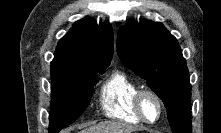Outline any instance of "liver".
<instances>
[{
	"mask_svg": "<svg viewBox=\"0 0 221 133\" xmlns=\"http://www.w3.org/2000/svg\"><path fill=\"white\" fill-rule=\"evenodd\" d=\"M135 130L131 125L106 121L83 129L79 133H133Z\"/></svg>",
	"mask_w": 221,
	"mask_h": 133,
	"instance_id": "obj_1",
	"label": "liver"
}]
</instances>
